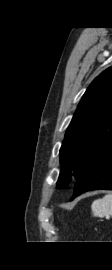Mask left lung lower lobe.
Returning <instances> with one entry per match:
<instances>
[{
	"label": "left lung lower lobe",
	"instance_id": "obj_1",
	"mask_svg": "<svg viewBox=\"0 0 112 270\" xmlns=\"http://www.w3.org/2000/svg\"><path fill=\"white\" fill-rule=\"evenodd\" d=\"M89 190H112V148L77 180L71 200Z\"/></svg>",
	"mask_w": 112,
	"mask_h": 270
}]
</instances>
